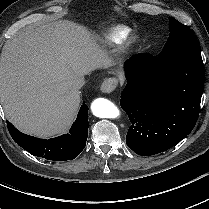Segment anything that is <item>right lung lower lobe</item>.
Returning <instances> with one entry per match:
<instances>
[{
  "label": "right lung lower lobe",
  "instance_id": "1",
  "mask_svg": "<svg viewBox=\"0 0 209 209\" xmlns=\"http://www.w3.org/2000/svg\"><path fill=\"white\" fill-rule=\"evenodd\" d=\"M88 107L83 104L70 133L56 138L40 139L18 131L7 122L13 140L29 153L47 160L66 161L76 158L86 146L88 132Z\"/></svg>",
  "mask_w": 209,
  "mask_h": 209
}]
</instances>
